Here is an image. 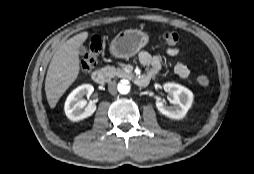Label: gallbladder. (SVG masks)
I'll use <instances>...</instances> for the list:
<instances>
[{
  "label": "gallbladder",
  "instance_id": "1",
  "mask_svg": "<svg viewBox=\"0 0 254 174\" xmlns=\"http://www.w3.org/2000/svg\"><path fill=\"white\" fill-rule=\"evenodd\" d=\"M79 52H80L81 54H85V53L87 52V49H86L84 46H80Z\"/></svg>",
  "mask_w": 254,
  "mask_h": 174
}]
</instances>
